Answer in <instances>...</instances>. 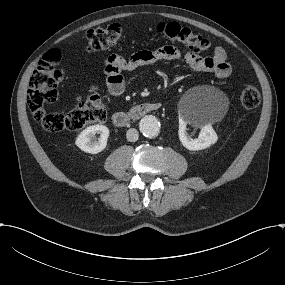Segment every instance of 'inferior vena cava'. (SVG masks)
Segmentation results:
<instances>
[{
	"instance_id": "obj_1",
	"label": "inferior vena cava",
	"mask_w": 285,
	"mask_h": 285,
	"mask_svg": "<svg viewBox=\"0 0 285 285\" xmlns=\"http://www.w3.org/2000/svg\"><path fill=\"white\" fill-rule=\"evenodd\" d=\"M126 137L128 141L135 142L138 140V131L134 128H131L127 130Z\"/></svg>"
}]
</instances>
